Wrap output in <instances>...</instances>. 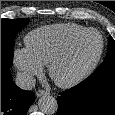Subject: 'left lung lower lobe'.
<instances>
[{
    "mask_svg": "<svg viewBox=\"0 0 115 115\" xmlns=\"http://www.w3.org/2000/svg\"><path fill=\"white\" fill-rule=\"evenodd\" d=\"M57 115H115V72L89 76L60 93Z\"/></svg>",
    "mask_w": 115,
    "mask_h": 115,
    "instance_id": "obj_1",
    "label": "left lung lower lobe"
}]
</instances>
